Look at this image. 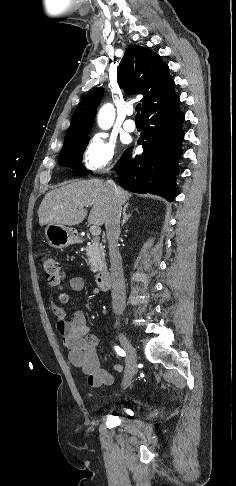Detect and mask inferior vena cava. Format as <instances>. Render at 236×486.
<instances>
[{"mask_svg":"<svg viewBox=\"0 0 236 486\" xmlns=\"http://www.w3.org/2000/svg\"><path fill=\"white\" fill-rule=\"evenodd\" d=\"M105 185L110 197V206L105 220V228L111 263L112 306L115 313H121L125 307L126 298L122 258L118 248L122 204L120 202L118 188L114 181L107 180Z\"/></svg>","mask_w":236,"mask_h":486,"instance_id":"obj_1","label":"inferior vena cava"}]
</instances>
